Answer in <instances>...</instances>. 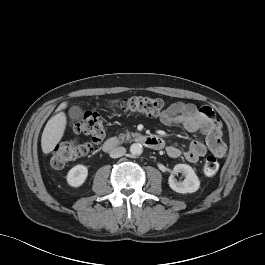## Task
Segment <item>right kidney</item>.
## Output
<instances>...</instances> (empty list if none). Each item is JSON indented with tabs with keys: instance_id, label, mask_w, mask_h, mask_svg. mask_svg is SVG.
Returning a JSON list of instances; mask_svg holds the SVG:
<instances>
[{
	"instance_id": "right-kidney-1",
	"label": "right kidney",
	"mask_w": 265,
	"mask_h": 265,
	"mask_svg": "<svg viewBox=\"0 0 265 265\" xmlns=\"http://www.w3.org/2000/svg\"><path fill=\"white\" fill-rule=\"evenodd\" d=\"M88 176V169L84 165H76L69 170L67 174V182L72 187L81 186Z\"/></svg>"
}]
</instances>
